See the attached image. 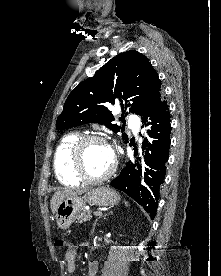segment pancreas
I'll return each instance as SVG.
<instances>
[{
	"mask_svg": "<svg viewBox=\"0 0 221 276\" xmlns=\"http://www.w3.org/2000/svg\"><path fill=\"white\" fill-rule=\"evenodd\" d=\"M92 218L90 211H83L80 215H78V220L80 223L86 222Z\"/></svg>",
	"mask_w": 221,
	"mask_h": 276,
	"instance_id": "1",
	"label": "pancreas"
}]
</instances>
